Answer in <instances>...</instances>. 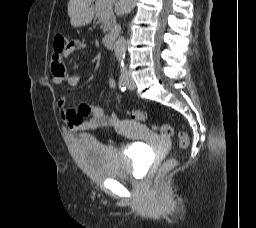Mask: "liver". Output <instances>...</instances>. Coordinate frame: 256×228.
I'll return each instance as SVG.
<instances>
[{
  "mask_svg": "<svg viewBox=\"0 0 256 228\" xmlns=\"http://www.w3.org/2000/svg\"><path fill=\"white\" fill-rule=\"evenodd\" d=\"M94 0H69L68 15L71 17L80 8L90 5Z\"/></svg>",
  "mask_w": 256,
  "mask_h": 228,
  "instance_id": "liver-1",
  "label": "liver"
}]
</instances>
